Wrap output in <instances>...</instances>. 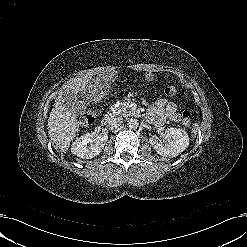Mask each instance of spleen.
I'll list each match as a JSON object with an SVG mask.
<instances>
[{
  "label": "spleen",
  "mask_w": 247,
  "mask_h": 247,
  "mask_svg": "<svg viewBox=\"0 0 247 247\" xmlns=\"http://www.w3.org/2000/svg\"><path fill=\"white\" fill-rule=\"evenodd\" d=\"M198 129H199V124L198 123H193V127H192V130H191L193 138L196 137Z\"/></svg>",
  "instance_id": "1"
}]
</instances>
